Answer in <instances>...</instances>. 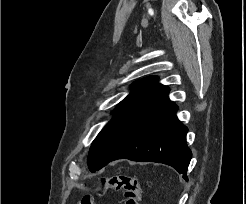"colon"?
Segmentation results:
<instances>
[{
  "mask_svg": "<svg viewBox=\"0 0 246 204\" xmlns=\"http://www.w3.org/2000/svg\"><path fill=\"white\" fill-rule=\"evenodd\" d=\"M106 189L121 192L124 197V204H140V187L137 179L129 175H118L109 179H101L98 182L96 192L103 194ZM78 204H94L92 195L85 194Z\"/></svg>",
  "mask_w": 246,
  "mask_h": 204,
  "instance_id": "obj_1",
  "label": "colon"
}]
</instances>
